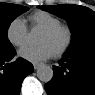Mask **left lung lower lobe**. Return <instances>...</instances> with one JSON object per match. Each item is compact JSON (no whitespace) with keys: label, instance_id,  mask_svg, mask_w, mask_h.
Masks as SVG:
<instances>
[{"label":"left lung lower lobe","instance_id":"1","mask_svg":"<svg viewBox=\"0 0 95 95\" xmlns=\"http://www.w3.org/2000/svg\"><path fill=\"white\" fill-rule=\"evenodd\" d=\"M45 85L48 95H95V47L66 53Z\"/></svg>","mask_w":95,"mask_h":95}]
</instances>
